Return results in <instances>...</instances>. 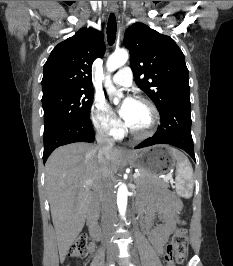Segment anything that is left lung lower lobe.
Here are the masks:
<instances>
[{
	"label": "left lung lower lobe",
	"instance_id": "obj_1",
	"mask_svg": "<svg viewBox=\"0 0 233 266\" xmlns=\"http://www.w3.org/2000/svg\"><path fill=\"white\" fill-rule=\"evenodd\" d=\"M161 126L153 137L144 140L135 148L155 144H170L186 151L194 160L193 140L191 136L190 97L169 102L160 111Z\"/></svg>",
	"mask_w": 233,
	"mask_h": 266
}]
</instances>
